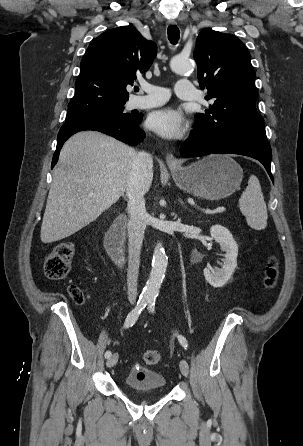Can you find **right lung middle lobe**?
Masks as SVG:
<instances>
[{
    "instance_id": "dd1d6c3e",
    "label": "right lung middle lobe",
    "mask_w": 303,
    "mask_h": 446,
    "mask_svg": "<svg viewBox=\"0 0 303 446\" xmlns=\"http://www.w3.org/2000/svg\"><path fill=\"white\" fill-rule=\"evenodd\" d=\"M124 104H116V105H109V106H103L94 108L91 110H73L68 109V113L66 116V120H70L76 117L85 116V115H105L115 118H122L126 120H134L138 115H133L130 113H123L124 110Z\"/></svg>"
}]
</instances>
